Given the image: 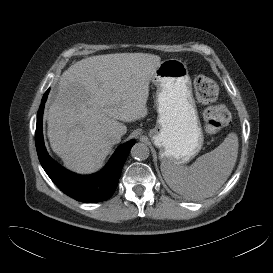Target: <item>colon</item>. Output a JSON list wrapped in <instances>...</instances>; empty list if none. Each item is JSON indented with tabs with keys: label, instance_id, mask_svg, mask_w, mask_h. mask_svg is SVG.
Here are the masks:
<instances>
[{
	"label": "colon",
	"instance_id": "obj_1",
	"mask_svg": "<svg viewBox=\"0 0 273 273\" xmlns=\"http://www.w3.org/2000/svg\"><path fill=\"white\" fill-rule=\"evenodd\" d=\"M194 88L198 100L205 104L214 103L219 96L217 84L204 76L195 79ZM229 120L230 114L222 106H210L203 114L204 129L209 134L220 132L229 123Z\"/></svg>",
	"mask_w": 273,
	"mask_h": 273
}]
</instances>
